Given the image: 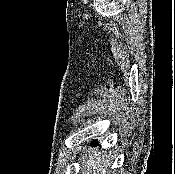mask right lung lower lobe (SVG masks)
Segmentation results:
<instances>
[{
	"label": "right lung lower lobe",
	"instance_id": "obj_1",
	"mask_svg": "<svg viewBox=\"0 0 175 174\" xmlns=\"http://www.w3.org/2000/svg\"><path fill=\"white\" fill-rule=\"evenodd\" d=\"M94 144H97V141L96 140L92 142V145H94Z\"/></svg>",
	"mask_w": 175,
	"mask_h": 174
}]
</instances>
